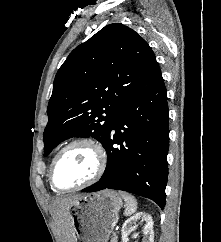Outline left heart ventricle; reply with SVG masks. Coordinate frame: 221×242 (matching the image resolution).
<instances>
[{"instance_id": "obj_1", "label": "left heart ventricle", "mask_w": 221, "mask_h": 242, "mask_svg": "<svg viewBox=\"0 0 221 242\" xmlns=\"http://www.w3.org/2000/svg\"><path fill=\"white\" fill-rule=\"evenodd\" d=\"M94 151L85 144L67 149L54 169V180L58 187L67 188L89 179L96 168Z\"/></svg>"}]
</instances>
